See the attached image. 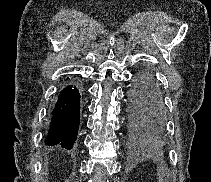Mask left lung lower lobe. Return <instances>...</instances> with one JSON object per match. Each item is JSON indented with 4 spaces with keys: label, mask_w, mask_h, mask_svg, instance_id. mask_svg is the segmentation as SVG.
Instances as JSON below:
<instances>
[{
    "label": "left lung lower lobe",
    "mask_w": 211,
    "mask_h": 182,
    "mask_svg": "<svg viewBox=\"0 0 211 182\" xmlns=\"http://www.w3.org/2000/svg\"><path fill=\"white\" fill-rule=\"evenodd\" d=\"M132 107L137 117L152 133L160 132L166 121L162 94L155 77L150 73L138 74L130 91Z\"/></svg>",
    "instance_id": "0a47b994"
}]
</instances>
